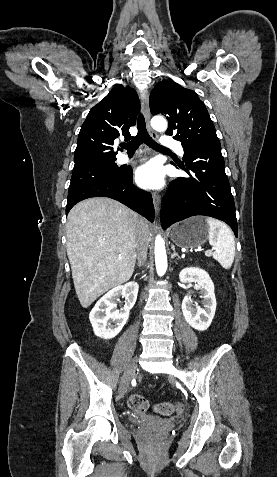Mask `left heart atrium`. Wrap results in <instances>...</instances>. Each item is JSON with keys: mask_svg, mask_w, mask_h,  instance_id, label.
<instances>
[{"mask_svg": "<svg viewBox=\"0 0 277 477\" xmlns=\"http://www.w3.org/2000/svg\"><path fill=\"white\" fill-rule=\"evenodd\" d=\"M135 179L142 188H158L163 184L164 172L157 162L151 161L137 169Z\"/></svg>", "mask_w": 277, "mask_h": 477, "instance_id": "1", "label": "left heart atrium"}]
</instances>
